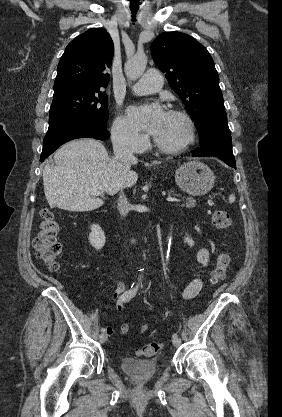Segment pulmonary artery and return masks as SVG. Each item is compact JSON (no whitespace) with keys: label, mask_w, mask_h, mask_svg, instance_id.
I'll list each match as a JSON object with an SVG mask.
<instances>
[{"label":"pulmonary artery","mask_w":282,"mask_h":417,"mask_svg":"<svg viewBox=\"0 0 282 417\" xmlns=\"http://www.w3.org/2000/svg\"><path fill=\"white\" fill-rule=\"evenodd\" d=\"M163 82L159 70H146L142 78L131 87V91L137 95L152 94L162 88Z\"/></svg>","instance_id":"e3ab8cb5"}]
</instances>
